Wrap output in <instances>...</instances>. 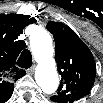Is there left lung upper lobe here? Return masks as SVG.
<instances>
[{"instance_id":"1","label":"left lung upper lobe","mask_w":103,"mask_h":103,"mask_svg":"<svg viewBox=\"0 0 103 103\" xmlns=\"http://www.w3.org/2000/svg\"><path fill=\"white\" fill-rule=\"evenodd\" d=\"M47 29L54 36L55 60L62 77L57 103H73L90 93L96 77V64L89 48L78 35L61 22H49Z\"/></svg>"}]
</instances>
